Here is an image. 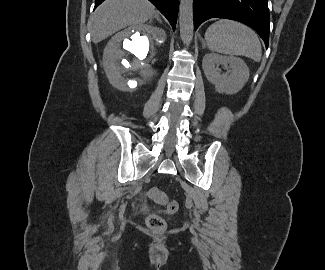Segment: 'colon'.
<instances>
[{
  "mask_svg": "<svg viewBox=\"0 0 325 270\" xmlns=\"http://www.w3.org/2000/svg\"><path fill=\"white\" fill-rule=\"evenodd\" d=\"M149 196L156 203L163 205L168 214H175L179 209L177 201L169 199L164 192L157 188H152L149 191ZM146 224L153 230H163L166 227L164 218L157 214H150L146 219Z\"/></svg>",
  "mask_w": 325,
  "mask_h": 270,
  "instance_id": "1",
  "label": "colon"
}]
</instances>
